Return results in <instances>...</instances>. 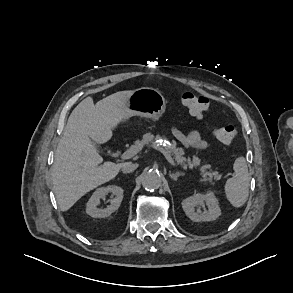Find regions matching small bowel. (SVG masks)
<instances>
[{"instance_id": "1", "label": "small bowel", "mask_w": 293, "mask_h": 293, "mask_svg": "<svg viewBox=\"0 0 293 293\" xmlns=\"http://www.w3.org/2000/svg\"><path fill=\"white\" fill-rule=\"evenodd\" d=\"M173 134L176 139L187 148L205 149L209 143L203 139L200 132L197 130L189 133H184L179 128H173Z\"/></svg>"}]
</instances>
